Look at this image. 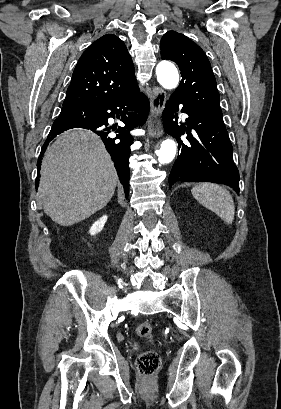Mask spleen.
<instances>
[{"label":"spleen","instance_id":"1","mask_svg":"<svg viewBox=\"0 0 281 409\" xmlns=\"http://www.w3.org/2000/svg\"><path fill=\"white\" fill-rule=\"evenodd\" d=\"M194 198L200 205L216 213L222 221L232 225L234 221V200L227 188L213 184V182H201L196 184L191 190Z\"/></svg>","mask_w":281,"mask_h":409}]
</instances>
